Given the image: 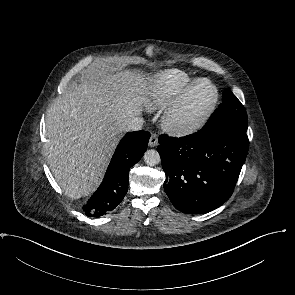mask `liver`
<instances>
[{
  "instance_id": "liver-1",
  "label": "liver",
  "mask_w": 295,
  "mask_h": 295,
  "mask_svg": "<svg viewBox=\"0 0 295 295\" xmlns=\"http://www.w3.org/2000/svg\"><path fill=\"white\" fill-rule=\"evenodd\" d=\"M145 86L140 73L113 68L70 86L48 108L45 155L68 197L98 188L124 126L142 111Z\"/></svg>"
}]
</instances>
